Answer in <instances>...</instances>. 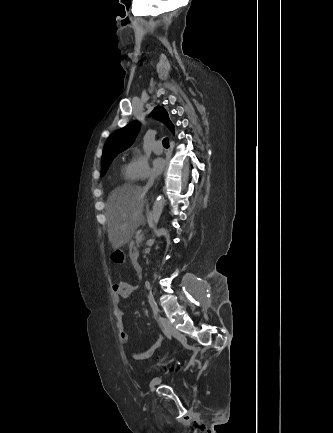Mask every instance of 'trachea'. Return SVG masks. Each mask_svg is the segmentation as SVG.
Segmentation results:
<instances>
[{
	"mask_svg": "<svg viewBox=\"0 0 333 433\" xmlns=\"http://www.w3.org/2000/svg\"><path fill=\"white\" fill-rule=\"evenodd\" d=\"M163 146H164L165 148H169V140H168V138H164V139H163Z\"/></svg>",
	"mask_w": 333,
	"mask_h": 433,
	"instance_id": "1",
	"label": "trachea"
}]
</instances>
